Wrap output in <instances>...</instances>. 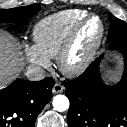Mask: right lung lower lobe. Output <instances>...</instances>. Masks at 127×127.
<instances>
[{
    "label": "right lung lower lobe",
    "mask_w": 127,
    "mask_h": 127,
    "mask_svg": "<svg viewBox=\"0 0 127 127\" xmlns=\"http://www.w3.org/2000/svg\"><path fill=\"white\" fill-rule=\"evenodd\" d=\"M54 79L38 82L17 79L0 91V127H34L35 120L51 99Z\"/></svg>",
    "instance_id": "1"
}]
</instances>
